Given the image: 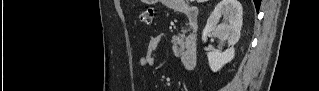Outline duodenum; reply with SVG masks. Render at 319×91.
I'll list each match as a JSON object with an SVG mask.
<instances>
[{"instance_id": "duodenum-1", "label": "duodenum", "mask_w": 319, "mask_h": 91, "mask_svg": "<svg viewBox=\"0 0 319 91\" xmlns=\"http://www.w3.org/2000/svg\"><path fill=\"white\" fill-rule=\"evenodd\" d=\"M184 14L188 18L190 25V33L187 37L185 48L181 54V61L184 67L188 70L192 69L197 62V27L199 22L198 9L193 6H187L184 9Z\"/></svg>"}]
</instances>
